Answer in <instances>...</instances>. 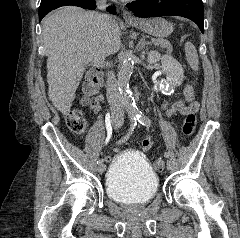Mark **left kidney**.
Here are the masks:
<instances>
[{
	"label": "left kidney",
	"mask_w": 240,
	"mask_h": 238,
	"mask_svg": "<svg viewBox=\"0 0 240 238\" xmlns=\"http://www.w3.org/2000/svg\"><path fill=\"white\" fill-rule=\"evenodd\" d=\"M161 60V68L166 75V80L158 82L159 88L163 94L168 95L175 87L180 86L183 82L184 72L182 65L170 55H160L157 51L148 53L147 61L149 64H154Z\"/></svg>",
	"instance_id": "obj_1"
}]
</instances>
